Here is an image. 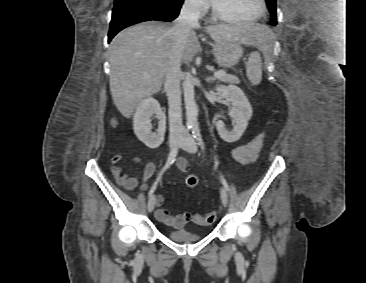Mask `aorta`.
<instances>
[{"label": "aorta", "mask_w": 366, "mask_h": 283, "mask_svg": "<svg viewBox=\"0 0 366 283\" xmlns=\"http://www.w3.org/2000/svg\"><path fill=\"white\" fill-rule=\"evenodd\" d=\"M184 102L186 108L187 125L198 126V106L195 102L194 85L191 77H187L183 82Z\"/></svg>", "instance_id": "762f6f07"}]
</instances>
